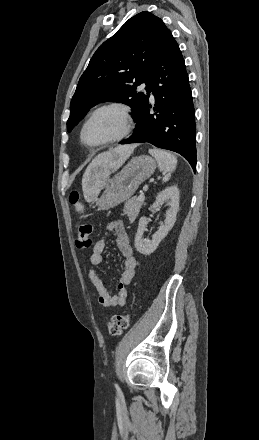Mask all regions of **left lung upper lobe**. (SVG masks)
<instances>
[{"instance_id":"1","label":"left lung upper lobe","mask_w":259,"mask_h":440,"mask_svg":"<svg viewBox=\"0 0 259 440\" xmlns=\"http://www.w3.org/2000/svg\"><path fill=\"white\" fill-rule=\"evenodd\" d=\"M169 34L159 17L144 11L130 18L105 41L80 77L70 103L67 130L71 131L91 107L103 101L129 105L136 121L148 103V96L136 88L145 83L147 91Z\"/></svg>"}]
</instances>
